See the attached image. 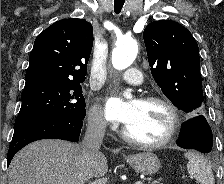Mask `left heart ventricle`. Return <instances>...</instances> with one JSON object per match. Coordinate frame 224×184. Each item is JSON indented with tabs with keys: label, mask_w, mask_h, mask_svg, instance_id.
Instances as JSON below:
<instances>
[{
	"label": "left heart ventricle",
	"mask_w": 224,
	"mask_h": 184,
	"mask_svg": "<svg viewBox=\"0 0 224 184\" xmlns=\"http://www.w3.org/2000/svg\"><path fill=\"white\" fill-rule=\"evenodd\" d=\"M136 112L126 125L128 132L134 138L146 142L161 140L167 133L170 124V114L160 104L135 102Z\"/></svg>",
	"instance_id": "b2bd125f"
}]
</instances>
